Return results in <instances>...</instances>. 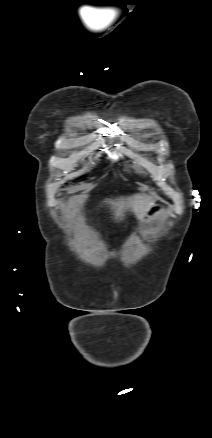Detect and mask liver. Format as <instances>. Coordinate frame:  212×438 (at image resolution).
I'll use <instances>...</instances> for the list:
<instances>
[{
    "mask_svg": "<svg viewBox=\"0 0 212 438\" xmlns=\"http://www.w3.org/2000/svg\"><path fill=\"white\" fill-rule=\"evenodd\" d=\"M110 203L114 208L116 218H122L124 216V211L131 209L137 218L141 219L146 210L153 205L155 201L149 196L136 194L129 198L110 201Z\"/></svg>",
    "mask_w": 212,
    "mask_h": 438,
    "instance_id": "obj_1",
    "label": "liver"
}]
</instances>
